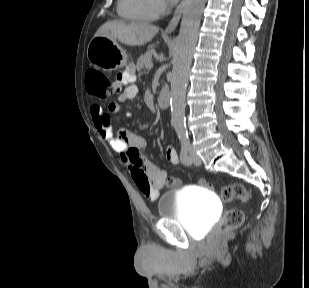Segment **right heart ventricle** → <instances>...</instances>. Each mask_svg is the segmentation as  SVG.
Wrapping results in <instances>:
<instances>
[{"label": "right heart ventricle", "mask_w": 309, "mask_h": 288, "mask_svg": "<svg viewBox=\"0 0 309 288\" xmlns=\"http://www.w3.org/2000/svg\"><path fill=\"white\" fill-rule=\"evenodd\" d=\"M117 11L133 22H150L158 17L153 0H117Z\"/></svg>", "instance_id": "e07e8e85"}]
</instances>
